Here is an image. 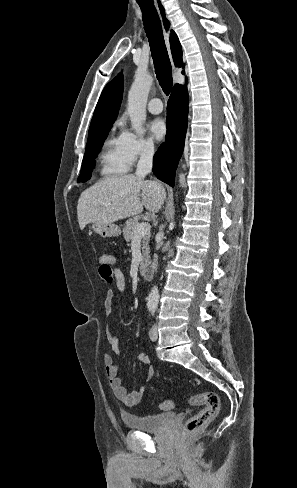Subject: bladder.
Here are the masks:
<instances>
[{
	"label": "bladder",
	"instance_id": "1",
	"mask_svg": "<svg viewBox=\"0 0 297 488\" xmlns=\"http://www.w3.org/2000/svg\"><path fill=\"white\" fill-rule=\"evenodd\" d=\"M174 414L171 412L138 416L131 413H123L122 421L126 428L142 432H159L167 427L173 420Z\"/></svg>",
	"mask_w": 297,
	"mask_h": 488
}]
</instances>
